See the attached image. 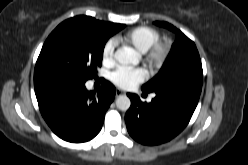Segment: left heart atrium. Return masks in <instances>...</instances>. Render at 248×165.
Instances as JSON below:
<instances>
[{
    "label": "left heart atrium",
    "instance_id": "39dd6f15",
    "mask_svg": "<svg viewBox=\"0 0 248 165\" xmlns=\"http://www.w3.org/2000/svg\"><path fill=\"white\" fill-rule=\"evenodd\" d=\"M146 77L147 71L144 68L121 67L112 72L110 79L122 89H132L142 83Z\"/></svg>",
    "mask_w": 248,
    "mask_h": 165
}]
</instances>
